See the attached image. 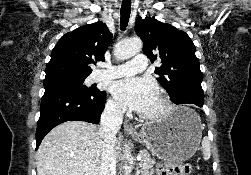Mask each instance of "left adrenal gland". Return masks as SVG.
Returning a JSON list of instances; mask_svg holds the SVG:
<instances>
[{"label":"left adrenal gland","instance_id":"obj_1","mask_svg":"<svg viewBox=\"0 0 251 175\" xmlns=\"http://www.w3.org/2000/svg\"><path fill=\"white\" fill-rule=\"evenodd\" d=\"M139 173H140V169H137L136 175H139Z\"/></svg>","mask_w":251,"mask_h":175}]
</instances>
